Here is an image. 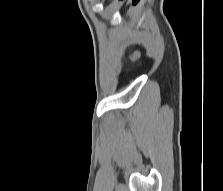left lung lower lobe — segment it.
I'll return each mask as SVG.
<instances>
[{"label":"left lung lower lobe","mask_w":223,"mask_h":191,"mask_svg":"<svg viewBox=\"0 0 223 191\" xmlns=\"http://www.w3.org/2000/svg\"><path fill=\"white\" fill-rule=\"evenodd\" d=\"M139 0H133V4H136Z\"/></svg>","instance_id":"obj_1"}]
</instances>
